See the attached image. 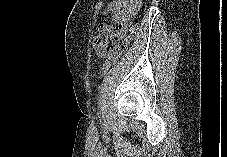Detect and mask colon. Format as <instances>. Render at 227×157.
<instances>
[{
  "label": "colon",
  "mask_w": 227,
  "mask_h": 157,
  "mask_svg": "<svg viewBox=\"0 0 227 157\" xmlns=\"http://www.w3.org/2000/svg\"><path fill=\"white\" fill-rule=\"evenodd\" d=\"M120 28L111 23H103L99 26L98 34L93 39V49L97 56L105 59L103 72H107L127 51L130 40L136 33L132 27L127 36H118ZM114 43L110 45V41Z\"/></svg>",
  "instance_id": "1"
}]
</instances>
